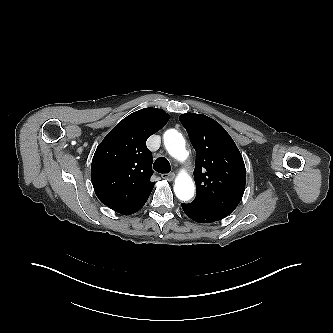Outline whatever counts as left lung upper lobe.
Returning a JSON list of instances; mask_svg holds the SVG:
<instances>
[{
	"label": "left lung upper lobe",
	"instance_id": "left-lung-upper-lobe-1",
	"mask_svg": "<svg viewBox=\"0 0 333 333\" xmlns=\"http://www.w3.org/2000/svg\"><path fill=\"white\" fill-rule=\"evenodd\" d=\"M179 119L196 150L197 192L193 202L228 216L245 191L246 169L236 144L212 118L185 113Z\"/></svg>",
	"mask_w": 333,
	"mask_h": 333
}]
</instances>
